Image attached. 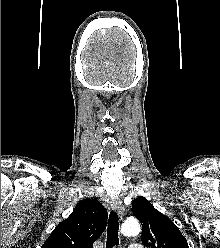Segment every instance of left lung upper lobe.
<instances>
[{
  "mask_svg": "<svg viewBox=\"0 0 220 248\" xmlns=\"http://www.w3.org/2000/svg\"><path fill=\"white\" fill-rule=\"evenodd\" d=\"M132 211L142 224V243L149 248H189L178 227L143 196L133 200Z\"/></svg>",
  "mask_w": 220,
  "mask_h": 248,
  "instance_id": "1",
  "label": "left lung upper lobe"
}]
</instances>
